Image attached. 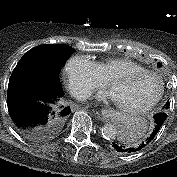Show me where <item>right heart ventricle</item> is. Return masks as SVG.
Masks as SVG:
<instances>
[{"label":"right heart ventricle","instance_id":"obj_1","mask_svg":"<svg viewBox=\"0 0 177 177\" xmlns=\"http://www.w3.org/2000/svg\"><path fill=\"white\" fill-rule=\"evenodd\" d=\"M95 63L106 81H109L117 74L127 71L145 70L141 64L128 58H109Z\"/></svg>","mask_w":177,"mask_h":177}]
</instances>
